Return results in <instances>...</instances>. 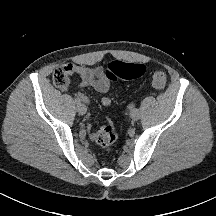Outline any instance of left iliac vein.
<instances>
[{
	"instance_id": "obj_1",
	"label": "left iliac vein",
	"mask_w": 216,
	"mask_h": 216,
	"mask_svg": "<svg viewBox=\"0 0 216 216\" xmlns=\"http://www.w3.org/2000/svg\"><path fill=\"white\" fill-rule=\"evenodd\" d=\"M130 117L132 120L137 121L140 117V111L135 108L134 110L131 111Z\"/></svg>"
}]
</instances>
